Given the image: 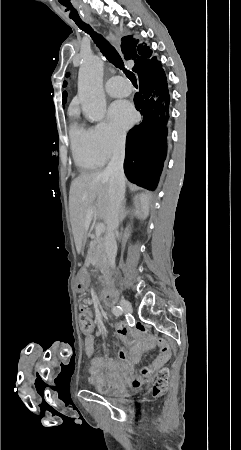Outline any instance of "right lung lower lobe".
Returning <instances> with one entry per match:
<instances>
[{"label":"right lung lower lobe","mask_w":241,"mask_h":450,"mask_svg":"<svg viewBox=\"0 0 241 450\" xmlns=\"http://www.w3.org/2000/svg\"><path fill=\"white\" fill-rule=\"evenodd\" d=\"M161 66L156 60L135 71L140 89L134 103L143 120L129 131L126 139L125 175L130 182L149 190L158 184L167 151L170 95Z\"/></svg>","instance_id":"98d812e1"}]
</instances>
